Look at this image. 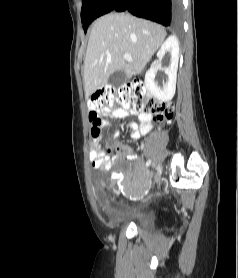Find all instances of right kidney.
<instances>
[{"instance_id":"ca27d5eb","label":"right kidney","mask_w":238,"mask_h":278,"mask_svg":"<svg viewBox=\"0 0 238 278\" xmlns=\"http://www.w3.org/2000/svg\"><path fill=\"white\" fill-rule=\"evenodd\" d=\"M166 52L171 53L170 66L164 69L168 81L162 88L155 83L157 70L161 68V60ZM158 62L152 66L145 75V86L147 90L159 101H169L175 94L176 77L179 61V43L175 36H170L161 46L157 53Z\"/></svg>"}]
</instances>
